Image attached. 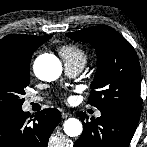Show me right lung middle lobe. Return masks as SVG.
Here are the masks:
<instances>
[{"label":"right lung middle lobe","instance_id":"right-lung-middle-lobe-1","mask_svg":"<svg viewBox=\"0 0 147 147\" xmlns=\"http://www.w3.org/2000/svg\"><path fill=\"white\" fill-rule=\"evenodd\" d=\"M29 62L0 58V114L21 109L29 85Z\"/></svg>","mask_w":147,"mask_h":147}]
</instances>
